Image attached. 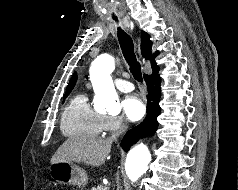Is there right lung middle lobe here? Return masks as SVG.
I'll list each match as a JSON object with an SVG mask.
<instances>
[{
	"label": "right lung middle lobe",
	"mask_w": 238,
	"mask_h": 190,
	"mask_svg": "<svg viewBox=\"0 0 238 190\" xmlns=\"http://www.w3.org/2000/svg\"><path fill=\"white\" fill-rule=\"evenodd\" d=\"M70 92H66V94L64 95V99L69 95Z\"/></svg>",
	"instance_id": "right-lung-middle-lobe-1"
}]
</instances>
